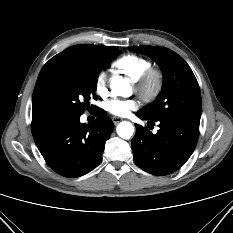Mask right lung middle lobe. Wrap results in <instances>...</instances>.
Here are the masks:
<instances>
[{"label": "right lung middle lobe", "instance_id": "1", "mask_svg": "<svg viewBox=\"0 0 233 233\" xmlns=\"http://www.w3.org/2000/svg\"><path fill=\"white\" fill-rule=\"evenodd\" d=\"M121 54L117 47H105L91 54L67 56L43 74L38 104L46 117L82 115L95 98L98 75L104 66Z\"/></svg>", "mask_w": 233, "mask_h": 233}]
</instances>
